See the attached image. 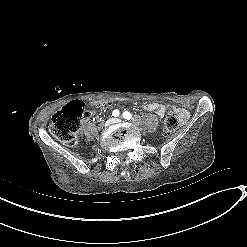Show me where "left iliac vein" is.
<instances>
[{
  "instance_id": "obj_1",
  "label": "left iliac vein",
  "mask_w": 247,
  "mask_h": 247,
  "mask_svg": "<svg viewBox=\"0 0 247 247\" xmlns=\"http://www.w3.org/2000/svg\"><path fill=\"white\" fill-rule=\"evenodd\" d=\"M121 122V120L120 119H114V123H120Z\"/></svg>"
}]
</instances>
